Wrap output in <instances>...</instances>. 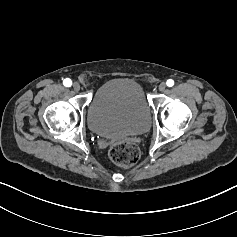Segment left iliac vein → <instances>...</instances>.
<instances>
[{
    "label": "left iliac vein",
    "mask_w": 237,
    "mask_h": 237,
    "mask_svg": "<svg viewBox=\"0 0 237 237\" xmlns=\"http://www.w3.org/2000/svg\"><path fill=\"white\" fill-rule=\"evenodd\" d=\"M160 92H164L166 89V83L165 82H161L159 87H158Z\"/></svg>",
    "instance_id": "left-iliac-vein-1"
}]
</instances>
